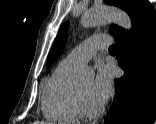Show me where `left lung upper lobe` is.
<instances>
[{
    "instance_id": "5c2ea615",
    "label": "left lung upper lobe",
    "mask_w": 156,
    "mask_h": 124,
    "mask_svg": "<svg viewBox=\"0 0 156 124\" xmlns=\"http://www.w3.org/2000/svg\"><path fill=\"white\" fill-rule=\"evenodd\" d=\"M144 1L145 0H104L106 4L119 7L124 11H126L129 14L132 21ZM67 29H68V22H65L61 26L59 33L54 41V44L50 50V53L47 58V67H49L52 64V62L55 61L58 58V56L61 54L66 44V39L68 34ZM123 30H124L123 28H120L116 25H111L109 28L110 33L115 36L120 32H122Z\"/></svg>"
}]
</instances>
